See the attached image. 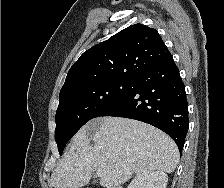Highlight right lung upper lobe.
<instances>
[{
    "label": "right lung upper lobe",
    "mask_w": 224,
    "mask_h": 188,
    "mask_svg": "<svg viewBox=\"0 0 224 188\" xmlns=\"http://www.w3.org/2000/svg\"><path fill=\"white\" fill-rule=\"evenodd\" d=\"M171 56L159 33L134 24L85 51L61 89L107 80H131Z\"/></svg>",
    "instance_id": "cb5924a9"
}]
</instances>
